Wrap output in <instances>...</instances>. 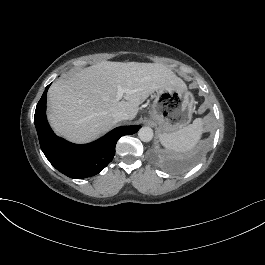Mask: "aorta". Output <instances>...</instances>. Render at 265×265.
Returning a JSON list of instances; mask_svg holds the SVG:
<instances>
[{
	"instance_id": "obj_1",
	"label": "aorta",
	"mask_w": 265,
	"mask_h": 265,
	"mask_svg": "<svg viewBox=\"0 0 265 265\" xmlns=\"http://www.w3.org/2000/svg\"><path fill=\"white\" fill-rule=\"evenodd\" d=\"M138 136L141 141L149 142L153 138V130L150 127H142L138 132Z\"/></svg>"
}]
</instances>
